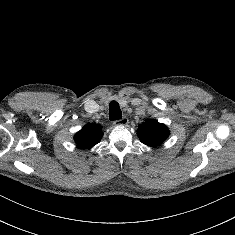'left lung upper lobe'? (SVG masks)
Here are the masks:
<instances>
[{"mask_svg": "<svg viewBox=\"0 0 235 235\" xmlns=\"http://www.w3.org/2000/svg\"><path fill=\"white\" fill-rule=\"evenodd\" d=\"M137 134L142 143L154 147L164 142L169 136V130L166 125L152 119L140 124Z\"/></svg>", "mask_w": 235, "mask_h": 235, "instance_id": "5c2ea615", "label": "left lung upper lobe"}]
</instances>
